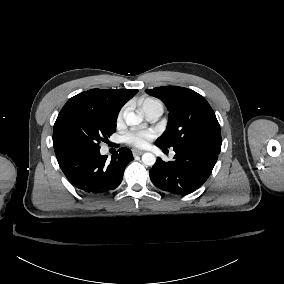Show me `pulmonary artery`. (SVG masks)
Listing matches in <instances>:
<instances>
[{
	"mask_svg": "<svg viewBox=\"0 0 284 284\" xmlns=\"http://www.w3.org/2000/svg\"><path fill=\"white\" fill-rule=\"evenodd\" d=\"M143 112L149 122H155L163 113V104L161 101H151L143 107Z\"/></svg>",
	"mask_w": 284,
	"mask_h": 284,
	"instance_id": "1",
	"label": "pulmonary artery"
}]
</instances>
